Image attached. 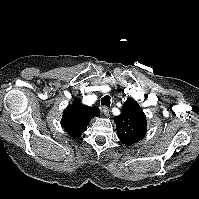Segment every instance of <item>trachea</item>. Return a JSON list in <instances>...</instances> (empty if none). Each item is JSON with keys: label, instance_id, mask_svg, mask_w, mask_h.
<instances>
[{"label": "trachea", "instance_id": "trachea-1", "mask_svg": "<svg viewBox=\"0 0 199 199\" xmlns=\"http://www.w3.org/2000/svg\"><path fill=\"white\" fill-rule=\"evenodd\" d=\"M111 103V98L110 96L106 95L101 99V105L109 107Z\"/></svg>", "mask_w": 199, "mask_h": 199}]
</instances>
